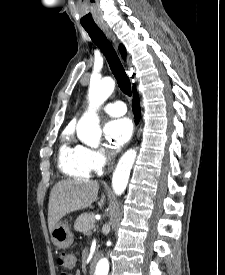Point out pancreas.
I'll list each match as a JSON object with an SVG mask.
<instances>
[{"label": "pancreas", "instance_id": "pancreas-1", "mask_svg": "<svg viewBox=\"0 0 225 275\" xmlns=\"http://www.w3.org/2000/svg\"><path fill=\"white\" fill-rule=\"evenodd\" d=\"M94 228L95 220L93 219V216L88 213L81 214L74 223V229L77 232H81L84 234H91Z\"/></svg>", "mask_w": 225, "mask_h": 275}]
</instances>
